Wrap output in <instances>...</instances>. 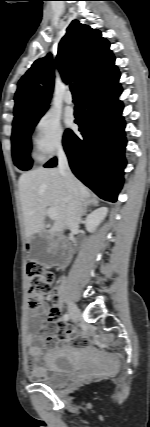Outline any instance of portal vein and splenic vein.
Here are the masks:
<instances>
[{
    "mask_svg": "<svg viewBox=\"0 0 150 427\" xmlns=\"http://www.w3.org/2000/svg\"><path fill=\"white\" fill-rule=\"evenodd\" d=\"M47 215L52 219L55 220L57 218V210L53 207H50L47 209Z\"/></svg>",
    "mask_w": 150,
    "mask_h": 427,
    "instance_id": "obj_1",
    "label": "portal vein and splenic vein"
}]
</instances>
